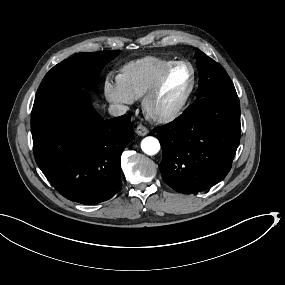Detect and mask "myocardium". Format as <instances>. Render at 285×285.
Here are the masks:
<instances>
[{"label":"myocardium","mask_w":285,"mask_h":285,"mask_svg":"<svg viewBox=\"0 0 285 285\" xmlns=\"http://www.w3.org/2000/svg\"><path fill=\"white\" fill-rule=\"evenodd\" d=\"M175 73H182L181 68H169L167 69L161 76L160 78L157 80V82L149 89L147 90L141 97V108L142 111L145 113H149L148 109H149V105L153 99L154 96H156L164 87V85L166 84V82L168 81V79ZM190 82L188 85V88L185 92V94L183 95L181 101L173 108L168 109L158 115H152V117H154L156 120L160 121V122H166L169 120L174 119L175 117H177L185 108V106L187 105L191 94L193 92V88H194V84H195V77H194V72L192 70H190Z\"/></svg>","instance_id":"1"}]
</instances>
